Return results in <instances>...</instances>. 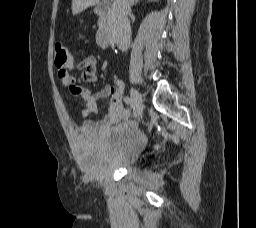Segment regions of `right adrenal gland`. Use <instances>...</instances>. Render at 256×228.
Here are the masks:
<instances>
[{
    "mask_svg": "<svg viewBox=\"0 0 256 228\" xmlns=\"http://www.w3.org/2000/svg\"><path fill=\"white\" fill-rule=\"evenodd\" d=\"M139 0H134L132 5H136L138 3Z\"/></svg>",
    "mask_w": 256,
    "mask_h": 228,
    "instance_id": "obj_1",
    "label": "right adrenal gland"
}]
</instances>
